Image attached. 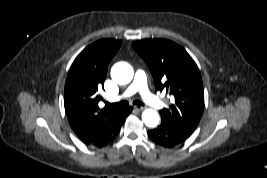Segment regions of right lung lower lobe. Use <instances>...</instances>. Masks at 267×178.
<instances>
[{"label": "right lung lower lobe", "mask_w": 267, "mask_h": 178, "mask_svg": "<svg viewBox=\"0 0 267 178\" xmlns=\"http://www.w3.org/2000/svg\"><path fill=\"white\" fill-rule=\"evenodd\" d=\"M131 112L132 107L124 106L113 118L96 125L85 136L78 137L86 145L98 148L105 147L116 138L124 120Z\"/></svg>", "instance_id": "1"}]
</instances>
